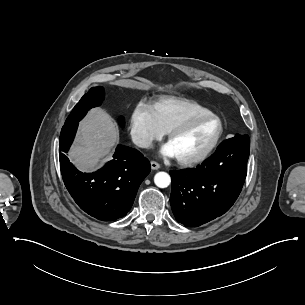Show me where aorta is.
<instances>
[{"mask_svg": "<svg viewBox=\"0 0 305 305\" xmlns=\"http://www.w3.org/2000/svg\"><path fill=\"white\" fill-rule=\"evenodd\" d=\"M154 183L160 188H166L171 183L170 175L166 172H158L154 176Z\"/></svg>", "mask_w": 305, "mask_h": 305, "instance_id": "aorta-1", "label": "aorta"}]
</instances>
